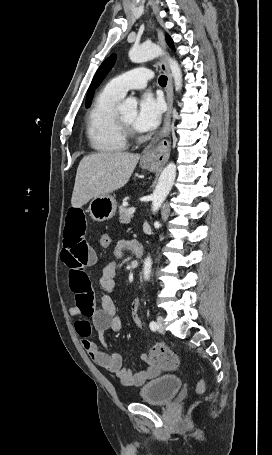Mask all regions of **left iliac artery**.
Segmentation results:
<instances>
[{
  "mask_svg": "<svg viewBox=\"0 0 272 455\" xmlns=\"http://www.w3.org/2000/svg\"><path fill=\"white\" fill-rule=\"evenodd\" d=\"M149 326L152 331H156V329L158 328V325L155 321H151Z\"/></svg>",
  "mask_w": 272,
  "mask_h": 455,
  "instance_id": "1",
  "label": "left iliac artery"
}]
</instances>
